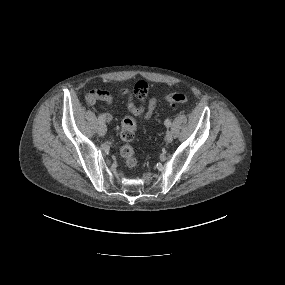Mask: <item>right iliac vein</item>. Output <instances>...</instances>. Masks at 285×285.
Masks as SVG:
<instances>
[{"label":"right iliac vein","mask_w":285,"mask_h":285,"mask_svg":"<svg viewBox=\"0 0 285 285\" xmlns=\"http://www.w3.org/2000/svg\"><path fill=\"white\" fill-rule=\"evenodd\" d=\"M97 132L100 136H104L107 132V128L104 124H100L98 129H97Z\"/></svg>","instance_id":"63e3f726"}]
</instances>
